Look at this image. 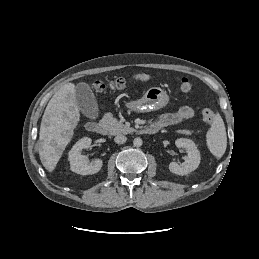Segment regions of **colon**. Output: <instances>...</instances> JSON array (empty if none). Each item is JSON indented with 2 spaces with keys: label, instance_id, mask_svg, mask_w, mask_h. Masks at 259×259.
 I'll use <instances>...</instances> for the list:
<instances>
[{
  "label": "colon",
  "instance_id": "colon-1",
  "mask_svg": "<svg viewBox=\"0 0 259 259\" xmlns=\"http://www.w3.org/2000/svg\"><path fill=\"white\" fill-rule=\"evenodd\" d=\"M94 87L99 92L105 91L108 88L121 90L125 87V81L123 79H116L108 84L98 81L95 83ZM176 88L181 92H189L191 90V82L188 78L182 77L177 81ZM202 119L206 125H210L214 120V112L209 108L203 109Z\"/></svg>",
  "mask_w": 259,
  "mask_h": 259
}]
</instances>
